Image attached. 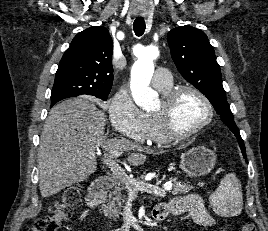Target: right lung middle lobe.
<instances>
[{
    "mask_svg": "<svg viewBox=\"0 0 268 231\" xmlns=\"http://www.w3.org/2000/svg\"><path fill=\"white\" fill-rule=\"evenodd\" d=\"M66 94V91L63 88H53L52 89V94H51V100L60 98ZM97 98L102 99L103 101H106L108 98V94L105 95H98L95 96Z\"/></svg>",
    "mask_w": 268,
    "mask_h": 231,
    "instance_id": "dd1d6c3e",
    "label": "right lung middle lobe"
}]
</instances>
